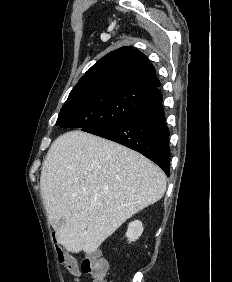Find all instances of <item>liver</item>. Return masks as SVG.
Returning <instances> with one entry per match:
<instances>
[{
	"instance_id": "1",
	"label": "liver",
	"mask_w": 232,
	"mask_h": 282,
	"mask_svg": "<svg viewBox=\"0 0 232 282\" xmlns=\"http://www.w3.org/2000/svg\"><path fill=\"white\" fill-rule=\"evenodd\" d=\"M40 191L57 242L69 252L90 254L127 219L163 197L166 176L138 152L76 130L52 143Z\"/></svg>"
}]
</instances>
